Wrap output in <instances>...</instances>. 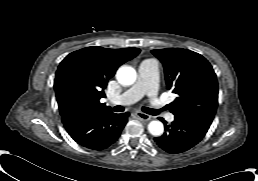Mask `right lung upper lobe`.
<instances>
[{"label": "right lung upper lobe", "instance_id": "cb5924a9", "mask_svg": "<svg viewBox=\"0 0 258 181\" xmlns=\"http://www.w3.org/2000/svg\"><path fill=\"white\" fill-rule=\"evenodd\" d=\"M140 53L138 48L86 47L70 53L60 63L54 89L62 117L79 110H111L100 99L120 65Z\"/></svg>", "mask_w": 258, "mask_h": 181}]
</instances>
